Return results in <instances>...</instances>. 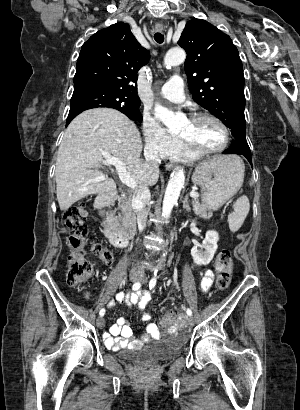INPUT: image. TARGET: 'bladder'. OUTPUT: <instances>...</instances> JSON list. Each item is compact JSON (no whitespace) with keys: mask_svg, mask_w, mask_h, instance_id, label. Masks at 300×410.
Listing matches in <instances>:
<instances>
[{"mask_svg":"<svg viewBox=\"0 0 300 410\" xmlns=\"http://www.w3.org/2000/svg\"><path fill=\"white\" fill-rule=\"evenodd\" d=\"M182 352V345L172 341L160 344L145 346L134 351L123 352L124 356L138 364H151L165 359L179 356Z\"/></svg>","mask_w":300,"mask_h":410,"instance_id":"obj_1","label":"bladder"}]
</instances>
